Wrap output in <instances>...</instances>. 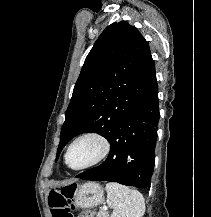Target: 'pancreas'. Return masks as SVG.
I'll use <instances>...</instances> for the list:
<instances>
[{"instance_id":"obj_1","label":"pancreas","mask_w":211,"mask_h":217,"mask_svg":"<svg viewBox=\"0 0 211 217\" xmlns=\"http://www.w3.org/2000/svg\"><path fill=\"white\" fill-rule=\"evenodd\" d=\"M97 217H107V213L104 210H100L97 214Z\"/></svg>"}]
</instances>
